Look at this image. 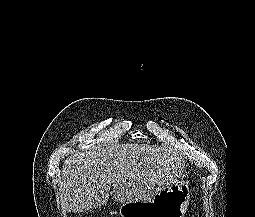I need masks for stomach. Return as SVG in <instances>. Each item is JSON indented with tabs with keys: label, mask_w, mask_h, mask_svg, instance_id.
Segmentation results:
<instances>
[{
	"label": "stomach",
	"mask_w": 255,
	"mask_h": 217,
	"mask_svg": "<svg viewBox=\"0 0 255 217\" xmlns=\"http://www.w3.org/2000/svg\"><path fill=\"white\" fill-rule=\"evenodd\" d=\"M190 200L188 183L177 180L149 200L123 203L121 217H184Z\"/></svg>",
	"instance_id": "stomach-1"
}]
</instances>
